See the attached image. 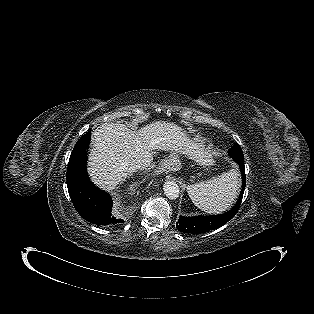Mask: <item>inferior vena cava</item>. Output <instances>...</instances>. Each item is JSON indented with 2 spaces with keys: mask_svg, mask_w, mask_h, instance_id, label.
Masks as SVG:
<instances>
[{
  "mask_svg": "<svg viewBox=\"0 0 314 314\" xmlns=\"http://www.w3.org/2000/svg\"><path fill=\"white\" fill-rule=\"evenodd\" d=\"M141 168H143V164L140 161H135V162L128 165V171L130 173L135 172Z\"/></svg>",
  "mask_w": 314,
  "mask_h": 314,
  "instance_id": "obj_1",
  "label": "inferior vena cava"
}]
</instances>
